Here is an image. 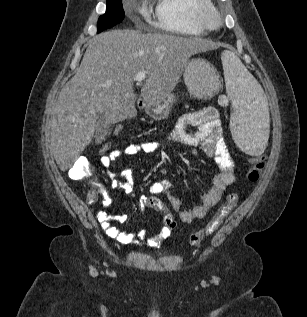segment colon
Here are the masks:
<instances>
[{
  "label": "colon",
  "mask_w": 307,
  "mask_h": 317,
  "mask_svg": "<svg viewBox=\"0 0 307 317\" xmlns=\"http://www.w3.org/2000/svg\"><path fill=\"white\" fill-rule=\"evenodd\" d=\"M122 130V126L118 125L115 129V134L118 135ZM113 150V146L110 142L103 143L99 148V154L101 156L108 155ZM251 167L247 172V179L250 182H257L262 174V171L265 167L266 157L257 156L249 159ZM70 176L74 179L93 181L94 180V169L90 162L86 158H79L70 170ZM90 200L95 199V193L90 192L88 194ZM239 196L236 192H230L226 200L222 203L216 214L212 217L209 223L201 230L192 233L189 236V243L191 245L200 244L203 239L211 234H213L223 223L225 218L231 212V210L236 206ZM148 205L152 208H156L162 211L163 221L165 227L169 230H172L176 226V221L174 216L167 211L162 205L161 201L156 197H150L148 199Z\"/></svg>",
  "instance_id": "obj_1"
}]
</instances>
